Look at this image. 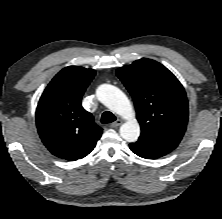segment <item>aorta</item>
I'll return each mask as SVG.
<instances>
[{"mask_svg": "<svg viewBox=\"0 0 222 219\" xmlns=\"http://www.w3.org/2000/svg\"><path fill=\"white\" fill-rule=\"evenodd\" d=\"M98 99L111 111L122 116L127 121L120 127V135L127 142L137 141L140 126L135 119V113L127 96L117 87L102 84L96 91Z\"/></svg>", "mask_w": 222, "mask_h": 219, "instance_id": "aorta-1", "label": "aorta"}]
</instances>
